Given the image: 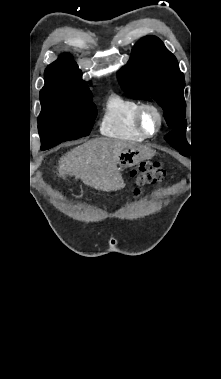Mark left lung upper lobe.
I'll list each match as a JSON object with an SVG mask.
<instances>
[{
    "label": "left lung upper lobe",
    "mask_w": 221,
    "mask_h": 379,
    "mask_svg": "<svg viewBox=\"0 0 221 379\" xmlns=\"http://www.w3.org/2000/svg\"><path fill=\"white\" fill-rule=\"evenodd\" d=\"M118 80L126 95L135 99H154L164 110L172 129L165 140L180 154L189 156L191 146L186 140V103L183 96L185 80L175 56L155 36L140 39L132 49Z\"/></svg>",
    "instance_id": "obj_1"
}]
</instances>
